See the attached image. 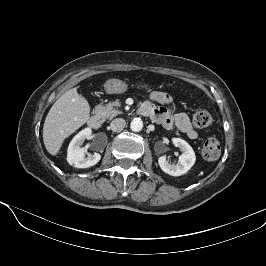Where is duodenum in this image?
<instances>
[{"instance_id": "obj_1", "label": "duodenum", "mask_w": 266, "mask_h": 266, "mask_svg": "<svg viewBox=\"0 0 266 266\" xmlns=\"http://www.w3.org/2000/svg\"><path fill=\"white\" fill-rule=\"evenodd\" d=\"M102 124V117L99 113L91 115L88 119V125L93 129H98Z\"/></svg>"}]
</instances>
